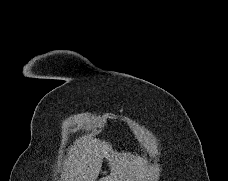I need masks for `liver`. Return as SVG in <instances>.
Instances as JSON below:
<instances>
[{
  "label": "liver",
  "mask_w": 228,
  "mask_h": 181,
  "mask_svg": "<svg viewBox=\"0 0 228 181\" xmlns=\"http://www.w3.org/2000/svg\"><path fill=\"white\" fill-rule=\"evenodd\" d=\"M68 159L63 181H97L103 159H107L110 175L101 181H144L147 177L146 159L124 151L118 153L110 143L86 135L74 143Z\"/></svg>",
  "instance_id": "1"
}]
</instances>
